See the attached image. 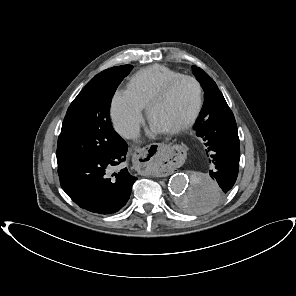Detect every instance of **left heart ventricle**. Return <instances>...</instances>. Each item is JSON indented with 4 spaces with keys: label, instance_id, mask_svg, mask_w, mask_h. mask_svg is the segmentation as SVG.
<instances>
[{
    "label": "left heart ventricle",
    "instance_id": "b2bd125f",
    "mask_svg": "<svg viewBox=\"0 0 296 296\" xmlns=\"http://www.w3.org/2000/svg\"><path fill=\"white\" fill-rule=\"evenodd\" d=\"M197 103V89L190 81L178 84L169 97L157 105L151 114V123L167 132L185 122Z\"/></svg>",
    "mask_w": 296,
    "mask_h": 296
}]
</instances>
